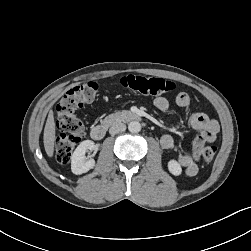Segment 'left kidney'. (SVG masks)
<instances>
[{
  "instance_id": "1",
  "label": "left kidney",
  "mask_w": 251,
  "mask_h": 251,
  "mask_svg": "<svg viewBox=\"0 0 251 251\" xmlns=\"http://www.w3.org/2000/svg\"><path fill=\"white\" fill-rule=\"evenodd\" d=\"M168 170L171 174L178 176L182 172L181 165L176 160H170L168 162Z\"/></svg>"
}]
</instances>
